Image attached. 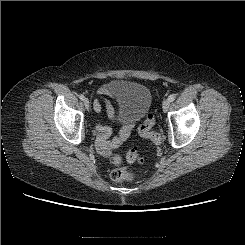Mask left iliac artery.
I'll list each match as a JSON object with an SVG mask.
<instances>
[{
    "label": "left iliac artery",
    "mask_w": 245,
    "mask_h": 245,
    "mask_svg": "<svg viewBox=\"0 0 245 245\" xmlns=\"http://www.w3.org/2000/svg\"><path fill=\"white\" fill-rule=\"evenodd\" d=\"M168 100L170 101V102H173L174 100H175V95H170L169 97H168Z\"/></svg>",
    "instance_id": "obj_1"
}]
</instances>
